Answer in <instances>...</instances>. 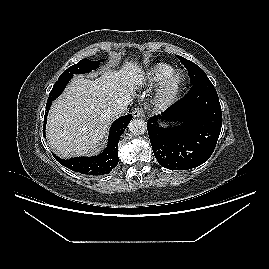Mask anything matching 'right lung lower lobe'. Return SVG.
<instances>
[{
	"label": "right lung lower lobe",
	"instance_id": "98d812e1",
	"mask_svg": "<svg viewBox=\"0 0 269 269\" xmlns=\"http://www.w3.org/2000/svg\"><path fill=\"white\" fill-rule=\"evenodd\" d=\"M72 77H65L58 79L54 84L47 104L44 117L43 136L45 137V126L47 121V113L50 109L52 101H54L64 90L67 83ZM132 115L128 114L115 120L110 128L108 144L105 150L97 156L93 157H78L68 160L61 159L54 155L55 159L63 166L72 171L79 172L86 175H103L108 174L118 164V142L120 136L125 131L130 123Z\"/></svg>",
	"mask_w": 269,
	"mask_h": 269
}]
</instances>
